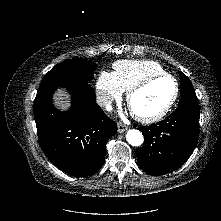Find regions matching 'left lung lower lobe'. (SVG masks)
<instances>
[{
	"mask_svg": "<svg viewBox=\"0 0 221 221\" xmlns=\"http://www.w3.org/2000/svg\"><path fill=\"white\" fill-rule=\"evenodd\" d=\"M199 108L178 107L164 120L141 127L144 143L139 167L158 176L174 171L192 154L199 137Z\"/></svg>",
	"mask_w": 221,
	"mask_h": 221,
	"instance_id": "1",
	"label": "left lung lower lobe"
}]
</instances>
